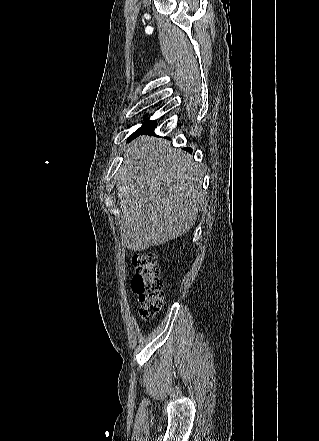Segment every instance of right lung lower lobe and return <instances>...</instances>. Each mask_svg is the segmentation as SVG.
Instances as JSON below:
<instances>
[{
	"label": "right lung lower lobe",
	"instance_id": "98d812e1",
	"mask_svg": "<svg viewBox=\"0 0 319 441\" xmlns=\"http://www.w3.org/2000/svg\"><path fill=\"white\" fill-rule=\"evenodd\" d=\"M157 127V123H153L150 126H148L146 129H144L140 134H153L154 129Z\"/></svg>",
	"mask_w": 319,
	"mask_h": 441
}]
</instances>
